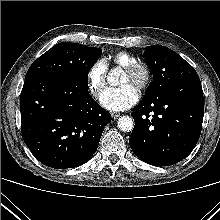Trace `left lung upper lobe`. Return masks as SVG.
Wrapping results in <instances>:
<instances>
[{
	"instance_id": "5c2ea615",
	"label": "left lung upper lobe",
	"mask_w": 220,
	"mask_h": 220,
	"mask_svg": "<svg viewBox=\"0 0 220 220\" xmlns=\"http://www.w3.org/2000/svg\"><path fill=\"white\" fill-rule=\"evenodd\" d=\"M143 56L153 74V81L147 88L142 101L167 91L183 79L198 77L195 69L186 60L167 47L148 46Z\"/></svg>"
}]
</instances>
